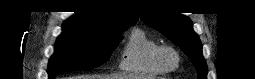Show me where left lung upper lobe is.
<instances>
[{
    "instance_id": "1",
    "label": "left lung upper lobe",
    "mask_w": 255,
    "mask_h": 79,
    "mask_svg": "<svg viewBox=\"0 0 255 79\" xmlns=\"http://www.w3.org/2000/svg\"><path fill=\"white\" fill-rule=\"evenodd\" d=\"M140 17L178 45L196 67L198 78L206 79L207 66L202 55L201 42L187 17L179 13L158 10L141 12Z\"/></svg>"
}]
</instances>
